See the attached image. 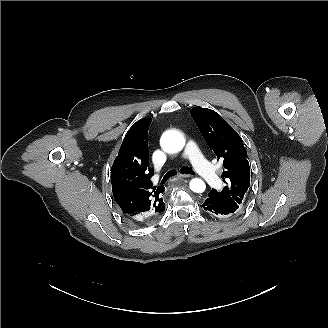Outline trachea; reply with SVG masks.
<instances>
[{"label":"trachea","instance_id":"3493384b","mask_svg":"<svg viewBox=\"0 0 328 328\" xmlns=\"http://www.w3.org/2000/svg\"><path fill=\"white\" fill-rule=\"evenodd\" d=\"M181 174H191L194 175V171L189 167H182L180 169ZM177 172L175 170L168 171L162 179V184H164L169 178L175 176Z\"/></svg>","mask_w":328,"mask_h":328}]
</instances>
